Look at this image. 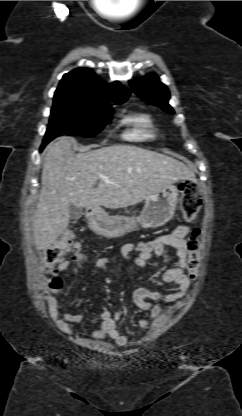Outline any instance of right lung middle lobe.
Returning <instances> with one entry per match:
<instances>
[{"instance_id": "1", "label": "right lung middle lobe", "mask_w": 242, "mask_h": 416, "mask_svg": "<svg viewBox=\"0 0 242 416\" xmlns=\"http://www.w3.org/2000/svg\"><path fill=\"white\" fill-rule=\"evenodd\" d=\"M123 102L113 104L119 105ZM112 115L110 102L54 100L43 146L60 135L93 137L107 125Z\"/></svg>"}]
</instances>
